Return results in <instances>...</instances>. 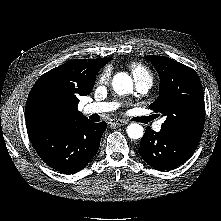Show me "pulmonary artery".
Listing matches in <instances>:
<instances>
[{
    "mask_svg": "<svg viewBox=\"0 0 221 221\" xmlns=\"http://www.w3.org/2000/svg\"><path fill=\"white\" fill-rule=\"evenodd\" d=\"M152 86V81L148 79H136L135 80V88L138 93H146L150 87ZM118 103L115 102H94L89 103L84 106V113L85 114H92V113H104L108 111H112L118 108ZM161 121H158L154 125V129L156 131H160L161 129Z\"/></svg>",
    "mask_w": 221,
    "mask_h": 221,
    "instance_id": "e3ab8cb5",
    "label": "pulmonary artery"
}]
</instances>
